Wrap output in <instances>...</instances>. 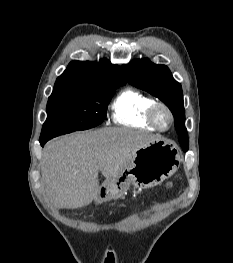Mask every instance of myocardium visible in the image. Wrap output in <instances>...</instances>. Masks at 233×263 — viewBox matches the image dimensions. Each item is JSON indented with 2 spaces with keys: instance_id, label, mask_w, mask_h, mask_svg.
Masks as SVG:
<instances>
[{
  "instance_id": "myocardium-1",
  "label": "myocardium",
  "mask_w": 233,
  "mask_h": 263,
  "mask_svg": "<svg viewBox=\"0 0 233 263\" xmlns=\"http://www.w3.org/2000/svg\"><path fill=\"white\" fill-rule=\"evenodd\" d=\"M159 110H163L166 112V114L169 117V122L168 125L163 127L160 125L159 121H158V112ZM147 118L148 121L159 131H167L169 130L173 123H174V116L172 111L170 110V108L163 102H157L155 101L148 109L147 112Z\"/></svg>"
}]
</instances>
